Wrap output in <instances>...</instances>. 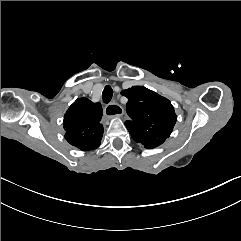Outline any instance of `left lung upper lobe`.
Returning <instances> with one entry per match:
<instances>
[{"label": "left lung upper lobe", "mask_w": 241, "mask_h": 241, "mask_svg": "<svg viewBox=\"0 0 241 241\" xmlns=\"http://www.w3.org/2000/svg\"><path fill=\"white\" fill-rule=\"evenodd\" d=\"M121 94L128 98L126 111L130 120L125 125L133 140L148 149L162 144L177 119L171 102L143 86H133Z\"/></svg>", "instance_id": "left-lung-upper-lobe-1"}]
</instances>
